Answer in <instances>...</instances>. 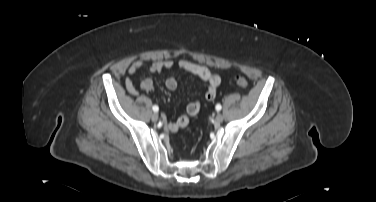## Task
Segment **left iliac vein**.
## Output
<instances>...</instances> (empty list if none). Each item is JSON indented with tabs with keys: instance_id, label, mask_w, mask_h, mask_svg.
Instances as JSON below:
<instances>
[{
	"instance_id": "left-iliac-vein-1",
	"label": "left iliac vein",
	"mask_w": 376,
	"mask_h": 202,
	"mask_svg": "<svg viewBox=\"0 0 376 202\" xmlns=\"http://www.w3.org/2000/svg\"><path fill=\"white\" fill-rule=\"evenodd\" d=\"M223 121V115L218 113L215 117V123L220 124Z\"/></svg>"
}]
</instances>
